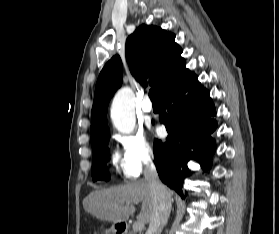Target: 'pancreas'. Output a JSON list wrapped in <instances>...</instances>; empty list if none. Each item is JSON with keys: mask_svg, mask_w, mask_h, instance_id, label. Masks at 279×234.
I'll use <instances>...</instances> for the list:
<instances>
[{"mask_svg": "<svg viewBox=\"0 0 279 234\" xmlns=\"http://www.w3.org/2000/svg\"><path fill=\"white\" fill-rule=\"evenodd\" d=\"M128 234H136L135 231H130Z\"/></svg>", "mask_w": 279, "mask_h": 234, "instance_id": "pancreas-1", "label": "pancreas"}]
</instances>
